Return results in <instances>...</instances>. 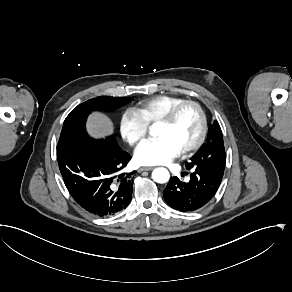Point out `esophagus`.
<instances>
[{"mask_svg": "<svg viewBox=\"0 0 292 292\" xmlns=\"http://www.w3.org/2000/svg\"><path fill=\"white\" fill-rule=\"evenodd\" d=\"M153 169H154V167H141L137 171L140 173L142 171H150V170H153Z\"/></svg>", "mask_w": 292, "mask_h": 292, "instance_id": "esophagus-1", "label": "esophagus"}]
</instances>
